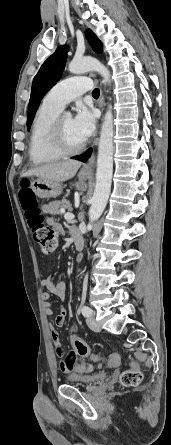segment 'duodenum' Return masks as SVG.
<instances>
[{
  "instance_id": "410a0bca",
  "label": "duodenum",
  "mask_w": 171,
  "mask_h": 445,
  "mask_svg": "<svg viewBox=\"0 0 171 445\" xmlns=\"http://www.w3.org/2000/svg\"><path fill=\"white\" fill-rule=\"evenodd\" d=\"M74 245L78 251L83 249L84 242L80 235H74Z\"/></svg>"
}]
</instances>
